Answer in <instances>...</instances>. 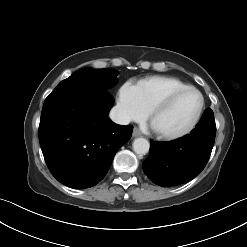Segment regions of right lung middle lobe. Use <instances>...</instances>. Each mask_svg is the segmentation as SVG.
<instances>
[{"mask_svg": "<svg viewBox=\"0 0 247 247\" xmlns=\"http://www.w3.org/2000/svg\"><path fill=\"white\" fill-rule=\"evenodd\" d=\"M118 74L117 71L112 69L93 70L91 68H84L61 81L53 92L73 88H99L107 90L118 82L116 78Z\"/></svg>", "mask_w": 247, "mask_h": 247, "instance_id": "1", "label": "right lung middle lobe"}]
</instances>
